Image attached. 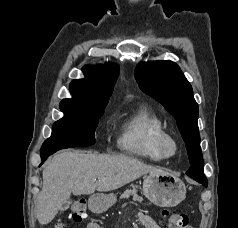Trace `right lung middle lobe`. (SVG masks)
<instances>
[{"label":"right lung middle lobe","mask_w":238,"mask_h":228,"mask_svg":"<svg viewBox=\"0 0 238 228\" xmlns=\"http://www.w3.org/2000/svg\"><path fill=\"white\" fill-rule=\"evenodd\" d=\"M106 105H98L89 112H63L64 117L54 123L51 137L43 143L41 152L93 145L98 119Z\"/></svg>","instance_id":"obj_1"}]
</instances>
